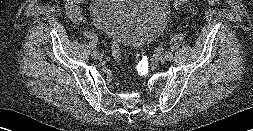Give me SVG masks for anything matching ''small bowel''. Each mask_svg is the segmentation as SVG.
Here are the masks:
<instances>
[{
	"label": "small bowel",
	"instance_id": "c3829d8e",
	"mask_svg": "<svg viewBox=\"0 0 253 131\" xmlns=\"http://www.w3.org/2000/svg\"><path fill=\"white\" fill-rule=\"evenodd\" d=\"M65 1V11L67 16L75 22L81 20V12L79 5L84 0H64Z\"/></svg>",
	"mask_w": 253,
	"mask_h": 131
}]
</instances>
